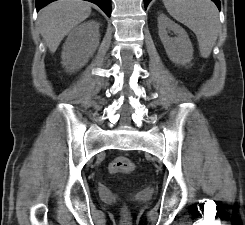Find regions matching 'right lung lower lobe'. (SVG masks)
I'll return each mask as SVG.
<instances>
[{"mask_svg": "<svg viewBox=\"0 0 245 225\" xmlns=\"http://www.w3.org/2000/svg\"><path fill=\"white\" fill-rule=\"evenodd\" d=\"M55 0H36V8L39 11L42 7L46 6L50 2ZM97 4L106 14L108 17L111 15V0H87Z\"/></svg>", "mask_w": 245, "mask_h": 225, "instance_id": "obj_1", "label": "right lung lower lobe"}]
</instances>
